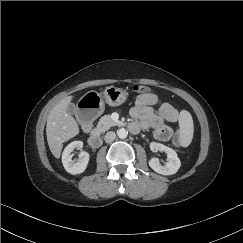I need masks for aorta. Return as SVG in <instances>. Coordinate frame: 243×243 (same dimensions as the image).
<instances>
[{
    "mask_svg": "<svg viewBox=\"0 0 243 243\" xmlns=\"http://www.w3.org/2000/svg\"><path fill=\"white\" fill-rule=\"evenodd\" d=\"M117 135L120 139H125L128 135V132L126 131V129L124 128H120L118 131H117Z\"/></svg>",
    "mask_w": 243,
    "mask_h": 243,
    "instance_id": "762f6f07",
    "label": "aorta"
}]
</instances>
